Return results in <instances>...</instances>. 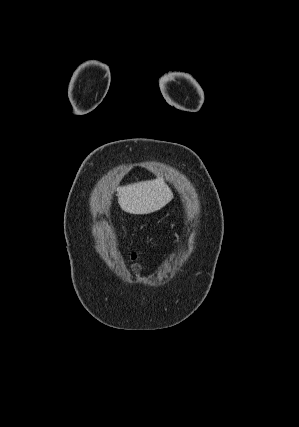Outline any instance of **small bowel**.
Wrapping results in <instances>:
<instances>
[{"label":"small bowel","instance_id":"obj_1","mask_svg":"<svg viewBox=\"0 0 299 427\" xmlns=\"http://www.w3.org/2000/svg\"><path fill=\"white\" fill-rule=\"evenodd\" d=\"M132 260H135V255L132 256Z\"/></svg>","mask_w":299,"mask_h":427}]
</instances>
